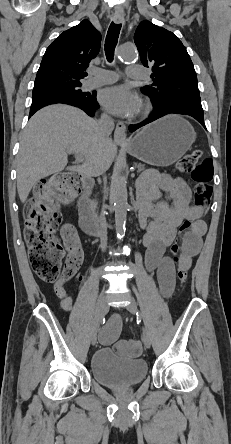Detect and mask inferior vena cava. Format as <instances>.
<instances>
[{
    "label": "inferior vena cava",
    "mask_w": 231,
    "mask_h": 444,
    "mask_svg": "<svg viewBox=\"0 0 231 444\" xmlns=\"http://www.w3.org/2000/svg\"><path fill=\"white\" fill-rule=\"evenodd\" d=\"M98 127H99V131L101 136L106 139L108 138V135L113 131L114 129V121L113 119L108 116L107 114H102L101 118L98 120ZM106 167L104 166L103 163H100L98 165H96L93 168L92 174L94 176H99V175H103L106 172ZM99 205L101 206L96 212L98 214H101L98 218L100 219L99 221V226L98 229L101 230V235L103 236V241H105V236L108 234L107 232L111 231L112 229L108 226L110 223L108 222L109 220L106 218V216L108 215L105 212V208L102 206L104 203L102 202L103 200L100 198L99 200Z\"/></svg>",
    "instance_id": "obj_1"
}]
</instances>
